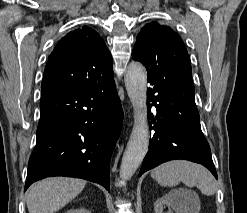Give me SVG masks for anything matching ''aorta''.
I'll return each instance as SVG.
<instances>
[{
	"label": "aorta",
	"instance_id": "aorta-1",
	"mask_svg": "<svg viewBox=\"0 0 247 213\" xmlns=\"http://www.w3.org/2000/svg\"><path fill=\"white\" fill-rule=\"evenodd\" d=\"M128 97L135 110V122L120 166V177L130 179L143 161L149 146L147 123V72L139 62H131L125 74Z\"/></svg>",
	"mask_w": 247,
	"mask_h": 213
}]
</instances>
